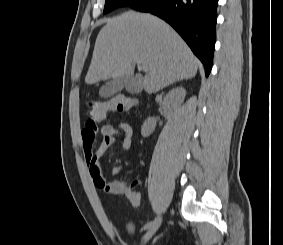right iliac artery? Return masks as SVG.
Returning <instances> with one entry per match:
<instances>
[{"instance_id": "right-iliac-artery-1", "label": "right iliac artery", "mask_w": 283, "mask_h": 245, "mask_svg": "<svg viewBox=\"0 0 283 245\" xmlns=\"http://www.w3.org/2000/svg\"><path fill=\"white\" fill-rule=\"evenodd\" d=\"M153 224V221L148 222L147 224H145V226L143 227V229H149Z\"/></svg>"}]
</instances>
